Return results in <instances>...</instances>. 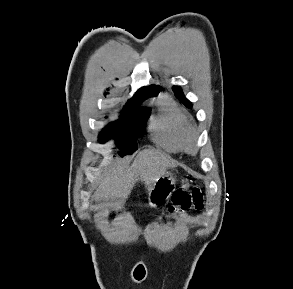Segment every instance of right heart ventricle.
<instances>
[{
	"instance_id": "obj_1",
	"label": "right heart ventricle",
	"mask_w": 293,
	"mask_h": 289,
	"mask_svg": "<svg viewBox=\"0 0 293 289\" xmlns=\"http://www.w3.org/2000/svg\"><path fill=\"white\" fill-rule=\"evenodd\" d=\"M156 107L150 120L153 140L168 151L183 149L184 134L191 127L185 114L166 95L158 98Z\"/></svg>"
}]
</instances>
